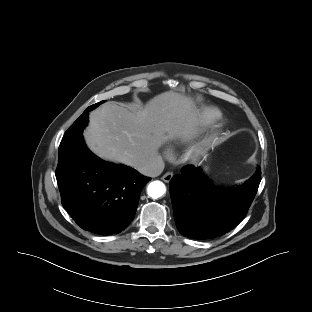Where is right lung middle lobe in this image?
<instances>
[{"instance_id":"dd1d6c3e","label":"right lung middle lobe","mask_w":312,"mask_h":312,"mask_svg":"<svg viewBox=\"0 0 312 312\" xmlns=\"http://www.w3.org/2000/svg\"><path fill=\"white\" fill-rule=\"evenodd\" d=\"M104 101L89 106L83 114L66 131L58 150V161L65 160L71 153L74 145L82 139L83 128L87 125L89 111L99 106Z\"/></svg>"}]
</instances>
